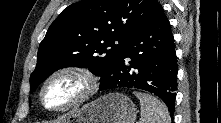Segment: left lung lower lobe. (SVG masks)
Instances as JSON below:
<instances>
[{
	"label": "left lung lower lobe",
	"mask_w": 221,
	"mask_h": 123,
	"mask_svg": "<svg viewBox=\"0 0 221 123\" xmlns=\"http://www.w3.org/2000/svg\"><path fill=\"white\" fill-rule=\"evenodd\" d=\"M139 88L160 97L171 115L175 110L177 59L169 20L158 3L132 34L99 90Z\"/></svg>",
	"instance_id": "1"
}]
</instances>
